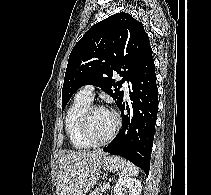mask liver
Returning <instances> with one entry per match:
<instances>
[{
  "label": "liver",
  "instance_id": "1",
  "mask_svg": "<svg viewBox=\"0 0 211 195\" xmlns=\"http://www.w3.org/2000/svg\"><path fill=\"white\" fill-rule=\"evenodd\" d=\"M106 155L101 151L70 152L63 155L57 166V194L82 195L87 192L91 188L88 182L90 173Z\"/></svg>",
  "mask_w": 211,
  "mask_h": 195
}]
</instances>
